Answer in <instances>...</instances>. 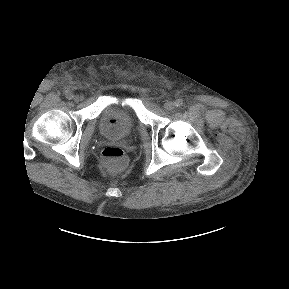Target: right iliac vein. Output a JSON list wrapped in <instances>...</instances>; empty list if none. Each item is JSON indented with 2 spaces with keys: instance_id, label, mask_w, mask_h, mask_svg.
<instances>
[{
  "instance_id": "1",
  "label": "right iliac vein",
  "mask_w": 289,
  "mask_h": 289,
  "mask_svg": "<svg viewBox=\"0 0 289 289\" xmlns=\"http://www.w3.org/2000/svg\"><path fill=\"white\" fill-rule=\"evenodd\" d=\"M81 100V97L79 95L74 96V101L79 102Z\"/></svg>"
}]
</instances>
